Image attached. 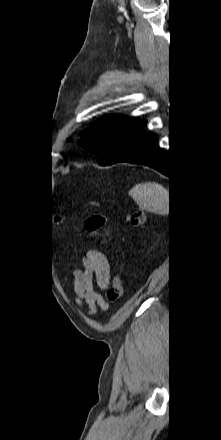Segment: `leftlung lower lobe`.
<instances>
[{
	"instance_id": "1",
	"label": "left lung lower lobe",
	"mask_w": 221,
	"mask_h": 440,
	"mask_svg": "<svg viewBox=\"0 0 221 440\" xmlns=\"http://www.w3.org/2000/svg\"><path fill=\"white\" fill-rule=\"evenodd\" d=\"M145 125L146 122H141L138 125L124 155L115 163L142 164L172 177L174 168L171 159L169 164L168 154L156 147L153 135L147 134L142 130V127Z\"/></svg>"
}]
</instances>
